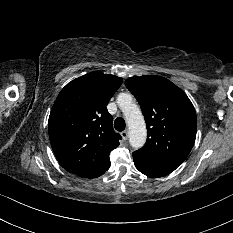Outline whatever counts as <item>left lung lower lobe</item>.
<instances>
[{
    "label": "left lung lower lobe",
    "mask_w": 233,
    "mask_h": 233,
    "mask_svg": "<svg viewBox=\"0 0 233 233\" xmlns=\"http://www.w3.org/2000/svg\"><path fill=\"white\" fill-rule=\"evenodd\" d=\"M133 161L136 168L149 177L166 176L178 167L177 165L142 154L139 151L133 152Z\"/></svg>",
    "instance_id": "obj_1"
}]
</instances>
